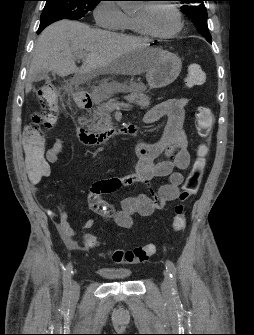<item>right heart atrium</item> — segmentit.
Instances as JSON below:
<instances>
[{
    "mask_svg": "<svg viewBox=\"0 0 254 335\" xmlns=\"http://www.w3.org/2000/svg\"><path fill=\"white\" fill-rule=\"evenodd\" d=\"M127 15L114 1H100L94 10V18L98 26L111 29H123Z\"/></svg>",
    "mask_w": 254,
    "mask_h": 335,
    "instance_id": "1",
    "label": "right heart atrium"
}]
</instances>
